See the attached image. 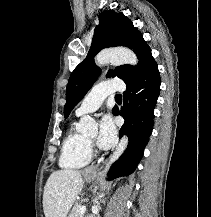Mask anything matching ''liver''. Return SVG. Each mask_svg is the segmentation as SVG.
<instances>
[{
	"label": "liver",
	"mask_w": 211,
	"mask_h": 217,
	"mask_svg": "<svg viewBox=\"0 0 211 217\" xmlns=\"http://www.w3.org/2000/svg\"><path fill=\"white\" fill-rule=\"evenodd\" d=\"M82 187L81 171L64 169L53 172L44 187L45 217H67Z\"/></svg>",
	"instance_id": "6515ba94"
}]
</instances>
